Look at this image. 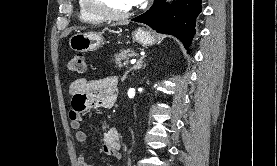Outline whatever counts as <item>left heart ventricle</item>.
<instances>
[{"instance_id":"left-heart-ventricle-1","label":"left heart ventricle","mask_w":277,"mask_h":166,"mask_svg":"<svg viewBox=\"0 0 277 166\" xmlns=\"http://www.w3.org/2000/svg\"><path fill=\"white\" fill-rule=\"evenodd\" d=\"M92 4L109 13L121 14L133 8L132 0H91Z\"/></svg>"}]
</instances>
